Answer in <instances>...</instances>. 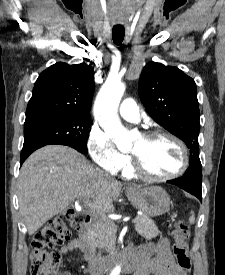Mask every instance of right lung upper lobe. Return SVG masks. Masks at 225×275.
<instances>
[{"label": "right lung upper lobe", "instance_id": "1", "mask_svg": "<svg viewBox=\"0 0 225 275\" xmlns=\"http://www.w3.org/2000/svg\"><path fill=\"white\" fill-rule=\"evenodd\" d=\"M93 93L94 71L91 66L58 62L39 75L26 117L38 114L89 115Z\"/></svg>", "mask_w": 225, "mask_h": 275}]
</instances>
